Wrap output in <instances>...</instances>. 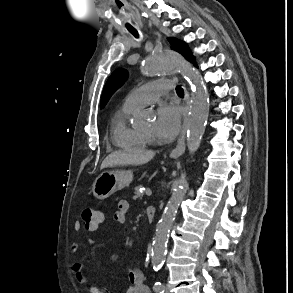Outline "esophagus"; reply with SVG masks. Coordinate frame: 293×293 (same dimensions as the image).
I'll list each match as a JSON object with an SVG mask.
<instances>
[{"label": "esophagus", "mask_w": 293, "mask_h": 293, "mask_svg": "<svg viewBox=\"0 0 293 293\" xmlns=\"http://www.w3.org/2000/svg\"><path fill=\"white\" fill-rule=\"evenodd\" d=\"M185 94H186L187 104H189V98L186 91H185ZM186 123H187V117L184 120L183 130H182L180 138L178 139L177 146L170 153L171 156H179L183 154L185 151L184 140H185V132H186Z\"/></svg>", "instance_id": "esophagus-1"}]
</instances>
